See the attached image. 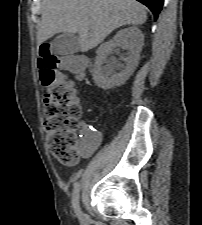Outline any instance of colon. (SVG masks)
Masks as SVG:
<instances>
[{"label": "colon", "instance_id": "obj_1", "mask_svg": "<svg viewBox=\"0 0 202 225\" xmlns=\"http://www.w3.org/2000/svg\"><path fill=\"white\" fill-rule=\"evenodd\" d=\"M54 46L53 41H44L38 58L41 81L45 87L43 128L51 155L64 165H72L80 142L81 107L74 85L57 73L61 57L55 53ZM62 58V62L70 68L85 65V61L79 60L76 54Z\"/></svg>", "mask_w": 202, "mask_h": 225}]
</instances>
